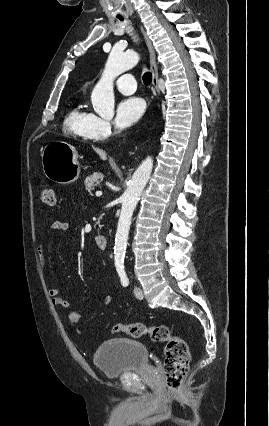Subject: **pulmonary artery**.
<instances>
[{
  "label": "pulmonary artery",
  "instance_id": "e3ab8cb5",
  "mask_svg": "<svg viewBox=\"0 0 269 426\" xmlns=\"http://www.w3.org/2000/svg\"><path fill=\"white\" fill-rule=\"evenodd\" d=\"M116 88L123 94H133L136 91V81L132 74L125 73L115 81Z\"/></svg>",
  "mask_w": 269,
  "mask_h": 426
}]
</instances>
